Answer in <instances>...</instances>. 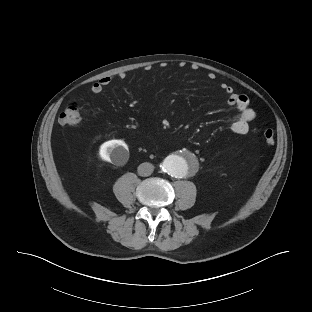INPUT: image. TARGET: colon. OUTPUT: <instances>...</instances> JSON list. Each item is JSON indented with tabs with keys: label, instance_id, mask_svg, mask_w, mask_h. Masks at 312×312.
Returning <instances> with one entry per match:
<instances>
[{
	"label": "colon",
	"instance_id": "obj_1",
	"mask_svg": "<svg viewBox=\"0 0 312 312\" xmlns=\"http://www.w3.org/2000/svg\"><path fill=\"white\" fill-rule=\"evenodd\" d=\"M80 121V106L76 102L69 103L58 118V122L65 126H76L80 123ZM263 138L267 145H273L275 142L274 131L269 127H265L263 129Z\"/></svg>",
	"mask_w": 312,
	"mask_h": 312
}]
</instances>
